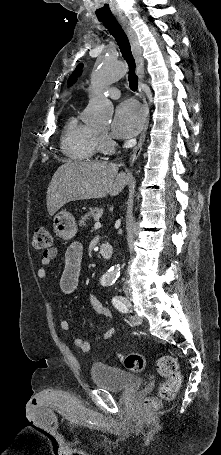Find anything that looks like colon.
<instances>
[{
    "mask_svg": "<svg viewBox=\"0 0 221 455\" xmlns=\"http://www.w3.org/2000/svg\"><path fill=\"white\" fill-rule=\"evenodd\" d=\"M52 237L47 228L39 227L35 230L33 236V246L38 250H48L51 248ZM125 367L132 372L143 371L146 367V359L138 353H131L122 358ZM159 374L165 378L158 389L157 398H149L145 402V407L153 409L158 407L160 400L172 399L180 387L182 379L179 372L177 360L169 355L159 358L157 363Z\"/></svg>",
    "mask_w": 221,
    "mask_h": 455,
    "instance_id": "5ec220e1",
    "label": "colon"
}]
</instances>
